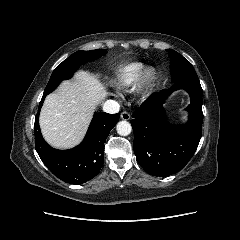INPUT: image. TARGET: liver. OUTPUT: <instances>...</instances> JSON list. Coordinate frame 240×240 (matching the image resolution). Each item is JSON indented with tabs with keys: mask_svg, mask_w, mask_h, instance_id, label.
<instances>
[{
	"mask_svg": "<svg viewBox=\"0 0 240 240\" xmlns=\"http://www.w3.org/2000/svg\"><path fill=\"white\" fill-rule=\"evenodd\" d=\"M108 92L92 74L79 71L73 81H64L49 94L40 114V128L53 147L76 146L85 136L95 107Z\"/></svg>",
	"mask_w": 240,
	"mask_h": 240,
	"instance_id": "liver-1",
	"label": "liver"
}]
</instances>
